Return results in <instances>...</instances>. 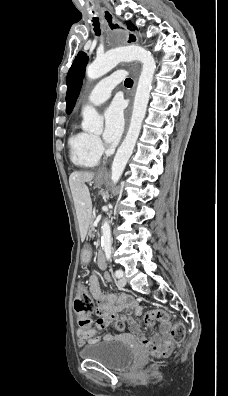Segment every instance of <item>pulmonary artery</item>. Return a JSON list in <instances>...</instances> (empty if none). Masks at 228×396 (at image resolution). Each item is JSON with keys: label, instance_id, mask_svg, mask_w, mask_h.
<instances>
[{"label": "pulmonary artery", "instance_id": "pulmonary-artery-1", "mask_svg": "<svg viewBox=\"0 0 228 396\" xmlns=\"http://www.w3.org/2000/svg\"><path fill=\"white\" fill-rule=\"evenodd\" d=\"M123 75V72L119 71L99 81L87 96L85 103L91 105L104 103L111 96L114 87L122 80Z\"/></svg>", "mask_w": 228, "mask_h": 396}]
</instances>
